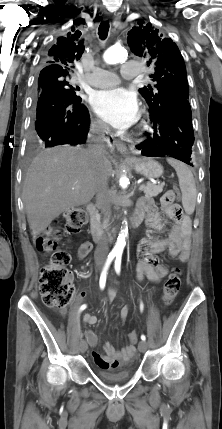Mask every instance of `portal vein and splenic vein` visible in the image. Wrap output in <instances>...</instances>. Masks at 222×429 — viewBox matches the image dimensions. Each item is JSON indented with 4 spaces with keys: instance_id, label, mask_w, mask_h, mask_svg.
<instances>
[{
    "instance_id": "obj_1",
    "label": "portal vein and splenic vein",
    "mask_w": 222,
    "mask_h": 429,
    "mask_svg": "<svg viewBox=\"0 0 222 429\" xmlns=\"http://www.w3.org/2000/svg\"><path fill=\"white\" fill-rule=\"evenodd\" d=\"M144 188H145V185H144V184H142V185H140L139 190L141 191V190H143Z\"/></svg>"
}]
</instances>
